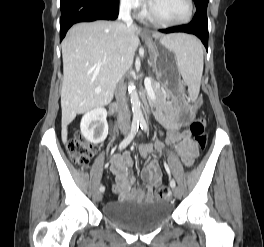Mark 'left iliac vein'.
I'll return each mask as SVG.
<instances>
[{
  "instance_id": "left-iliac-vein-1",
  "label": "left iliac vein",
  "mask_w": 264,
  "mask_h": 247,
  "mask_svg": "<svg viewBox=\"0 0 264 247\" xmlns=\"http://www.w3.org/2000/svg\"><path fill=\"white\" fill-rule=\"evenodd\" d=\"M173 194L176 198H180L181 197V191L178 187L173 189Z\"/></svg>"
}]
</instances>
